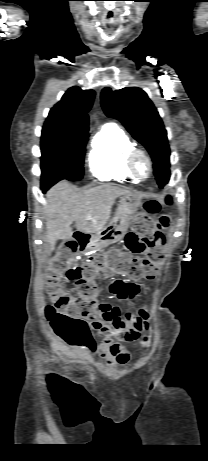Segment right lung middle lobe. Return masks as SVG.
<instances>
[{
  "instance_id": "dd1d6c3e",
  "label": "right lung middle lobe",
  "mask_w": 208,
  "mask_h": 461,
  "mask_svg": "<svg viewBox=\"0 0 208 461\" xmlns=\"http://www.w3.org/2000/svg\"><path fill=\"white\" fill-rule=\"evenodd\" d=\"M88 136L87 133H69L44 125L41 136V186L63 179H82Z\"/></svg>"
}]
</instances>
